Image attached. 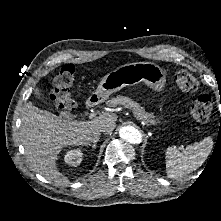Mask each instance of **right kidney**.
<instances>
[{"instance_id":"ca27d5eb","label":"right kidney","mask_w":221,"mask_h":221,"mask_svg":"<svg viewBox=\"0 0 221 221\" xmlns=\"http://www.w3.org/2000/svg\"><path fill=\"white\" fill-rule=\"evenodd\" d=\"M82 157H83V153L81 149L77 148V149L68 151L64 157V161L67 164L73 167H76L80 165V163L82 162Z\"/></svg>"}]
</instances>
